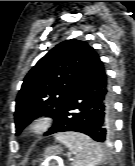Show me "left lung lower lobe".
<instances>
[{
	"mask_svg": "<svg viewBox=\"0 0 135 166\" xmlns=\"http://www.w3.org/2000/svg\"><path fill=\"white\" fill-rule=\"evenodd\" d=\"M113 116L111 86L103 63L96 54L80 75L68 105L45 135L74 131L84 133L95 141L107 143L113 132Z\"/></svg>",
	"mask_w": 135,
	"mask_h": 166,
	"instance_id": "left-lung-lower-lobe-1",
	"label": "left lung lower lobe"
}]
</instances>
